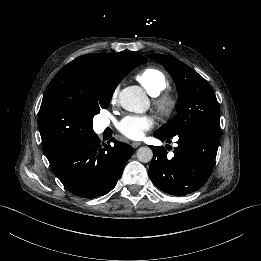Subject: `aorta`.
Segmentation results:
<instances>
[{"mask_svg": "<svg viewBox=\"0 0 261 261\" xmlns=\"http://www.w3.org/2000/svg\"><path fill=\"white\" fill-rule=\"evenodd\" d=\"M119 100L124 109L135 113L147 111L150 105L149 98L142 89L137 91L134 86H129L121 90ZM136 156L140 162L148 163L152 160L153 152L151 148L144 146L137 150Z\"/></svg>", "mask_w": 261, "mask_h": 261, "instance_id": "aorta-1", "label": "aorta"}]
</instances>
